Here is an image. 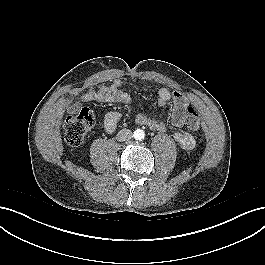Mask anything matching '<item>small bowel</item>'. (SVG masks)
<instances>
[{
  "instance_id": "obj_1",
  "label": "small bowel",
  "mask_w": 265,
  "mask_h": 265,
  "mask_svg": "<svg viewBox=\"0 0 265 265\" xmlns=\"http://www.w3.org/2000/svg\"><path fill=\"white\" fill-rule=\"evenodd\" d=\"M82 102H100V103H117L129 104L131 98L128 93L123 90V82L120 79H115L110 85H95L88 91L80 95ZM158 105L165 108L168 105L172 106L170 121L176 128L184 126L187 108L190 106V98L179 91H171L167 88H160L158 91ZM76 105L71 106V110H75ZM120 120L118 112L107 114L103 120L102 127L107 133L115 130ZM137 124L148 127L152 130L162 132L166 129V123L163 120H157L144 114H138L135 118ZM173 138L178 146L189 151L194 148L195 140L193 136L184 131H177Z\"/></svg>"
}]
</instances>
